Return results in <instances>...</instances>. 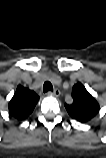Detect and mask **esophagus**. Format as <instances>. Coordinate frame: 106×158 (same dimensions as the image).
<instances>
[{"label":"esophagus","instance_id":"esophagus-1","mask_svg":"<svg viewBox=\"0 0 106 158\" xmlns=\"http://www.w3.org/2000/svg\"><path fill=\"white\" fill-rule=\"evenodd\" d=\"M48 94H52L55 97H59L61 92L58 88L54 89L52 92H48Z\"/></svg>","mask_w":106,"mask_h":158}]
</instances>
